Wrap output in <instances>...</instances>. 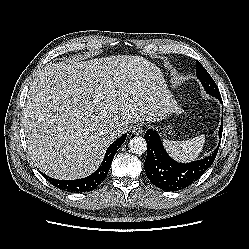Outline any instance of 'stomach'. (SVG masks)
Wrapping results in <instances>:
<instances>
[{"label":"stomach","mask_w":249,"mask_h":249,"mask_svg":"<svg viewBox=\"0 0 249 249\" xmlns=\"http://www.w3.org/2000/svg\"><path fill=\"white\" fill-rule=\"evenodd\" d=\"M172 129H173V127H172L171 125L165 126V131H164V133H165V134H168V135H172V134H173ZM165 134H164V135H165Z\"/></svg>","instance_id":"obj_1"}]
</instances>
